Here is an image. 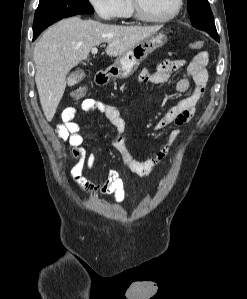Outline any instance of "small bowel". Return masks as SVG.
<instances>
[{
  "label": "small bowel",
  "instance_id": "1",
  "mask_svg": "<svg viewBox=\"0 0 247 299\" xmlns=\"http://www.w3.org/2000/svg\"><path fill=\"white\" fill-rule=\"evenodd\" d=\"M208 53H198L188 64L185 60H164L155 72L143 69L139 75L142 83L163 84L169 81L171 74L186 66L185 74L178 80L176 87L181 93H185L191 86L194 87L192 93L173 108L169 109L160 118L154 128L157 131L163 130L167 126L174 124L182 126L188 123L195 111L199 101L202 99L207 83ZM80 109L85 112L99 111L110 121L113 127V135L110 140L111 146L120 154L126 168L136 176L146 177L153 171L159 169L170 154L173 143L178 138V130L173 129L169 133L168 144L161 148L154 158L138 161L130 154L124 137L125 122L119 110L110 104L93 98L85 99ZM79 109L74 106L67 107L62 113V122L56 127V135L61 141H68L71 146L70 156L76 158L77 162L72 168L71 178L73 182L84 192L95 195L98 193L113 195L117 203H122L125 199V187L119 174L110 170L105 178L98 183H93L83 176L84 169L92 170L94 167V156L88 153L83 146V136L80 126L75 121Z\"/></svg>",
  "mask_w": 247,
  "mask_h": 299
}]
</instances>
